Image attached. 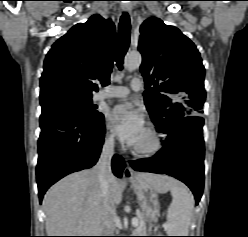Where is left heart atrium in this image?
Returning a JSON list of instances; mask_svg holds the SVG:
<instances>
[{
	"instance_id": "left-heart-atrium-1",
	"label": "left heart atrium",
	"mask_w": 248,
	"mask_h": 237,
	"mask_svg": "<svg viewBox=\"0 0 248 237\" xmlns=\"http://www.w3.org/2000/svg\"><path fill=\"white\" fill-rule=\"evenodd\" d=\"M108 123L119 139L130 146H135L146 132L143 114L131 104L116 105L108 114Z\"/></svg>"
}]
</instances>
